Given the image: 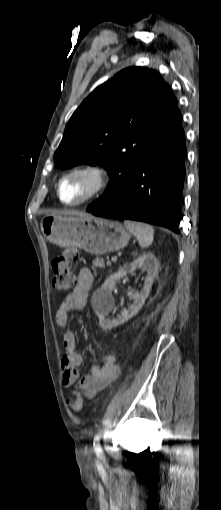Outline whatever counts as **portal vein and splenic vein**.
Wrapping results in <instances>:
<instances>
[{"mask_svg": "<svg viewBox=\"0 0 221 510\" xmlns=\"http://www.w3.org/2000/svg\"><path fill=\"white\" fill-rule=\"evenodd\" d=\"M116 260H117V257H116V256H113V257L111 258V261H116ZM108 263H110V262H108Z\"/></svg>", "mask_w": 221, "mask_h": 510, "instance_id": "1", "label": "portal vein and splenic vein"}]
</instances>
